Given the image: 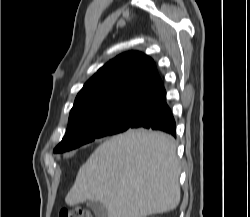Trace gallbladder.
Returning a JSON list of instances; mask_svg holds the SVG:
<instances>
[{"mask_svg":"<svg viewBox=\"0 0 250 217\" xmlns=\"http://www.w3.org/2000/svg\"><path fill=\"white\" fill-rule=\"evenodd\" d=\"M87 207L93 211L95 217H108L107 208L99 202H88Z\"/></svg>","mask_w":250,"mask_h":217,"instance_id":"1","label":"gallbladder"}]
</instances>
